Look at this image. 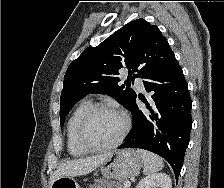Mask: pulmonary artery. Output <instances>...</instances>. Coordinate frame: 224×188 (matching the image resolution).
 Returning <instances> with one entry per match:
<instances>
[{"label":"pulmonary artery","mask_w":224,"mask_h":188,"mask_svg":"<svg viewBox=\"0 0 224 188\" xmlns=\"http://www.w3.org/2000/svg\"><path fill=\"white\" fill-rule=\"evenodd\" d=\"M136 87L140 90H144V85L143 82L141 80H137L135 83Z\"/></svg>","instance_id":"1"}]
</instances>
